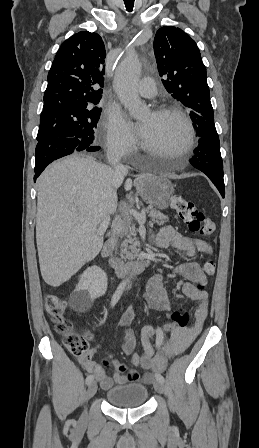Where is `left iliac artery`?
I'll return each mask as SVG.
<instances>
[{"label": "left iliac artery", "mask_w": 259, "mask_h": 448, "mask_svg": "<svg viewBox=\"0 0 259 448\" xmlns=\"http://www.w3.org/2000/svg\"><path fill=\"white\" fill-rule=\"evenodd\" d=\"M164 342V333L160 327L156 330V348H160ZM156 380L164 383L165 379L160 373H156Z\"/></svg>", "instance_id": "1"}]
</instances>
